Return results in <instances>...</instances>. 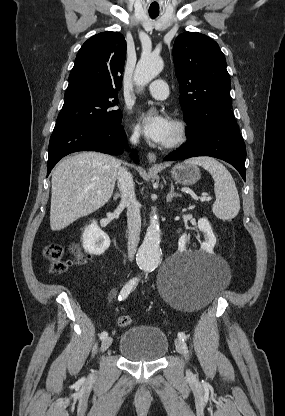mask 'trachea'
<instances>
[{"instance_id":"trachea-1","label":"trachea","mask_w":285,"mask_h":416,"mask_svg":"<svg viewBox=\"0 0 285 416\" xmlns=\"http://www.w3.org/2000/svg\"><path fill=\"white\" fill-rule=\"evenodd\" d=\"M158 15H159V14H156V13H149V16H150L151 18H156V17H158Z\"/></svg>"}]
</instances>
